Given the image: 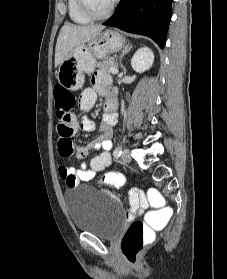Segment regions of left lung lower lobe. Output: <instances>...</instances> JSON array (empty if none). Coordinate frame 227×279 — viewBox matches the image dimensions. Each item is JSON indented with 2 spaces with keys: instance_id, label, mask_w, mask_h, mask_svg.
<instances>
[{
  "instance_id": "left-lung-lower-lobe-1",
  "label": "left lung lower lobe",
  "mask_w": 227,
  "mask_h": 279,
  "mask_svg": "<svg viewBox=\"0 0 227 279\" xmlns=\"http://www.w3.org/2000/svg\"><path fill=\"white\" fill-rule=\"evenodd\" d=\"M172 0H121L103 25L152 38L161 48L171 18Z\"/></svg>"
}]
</instances>
